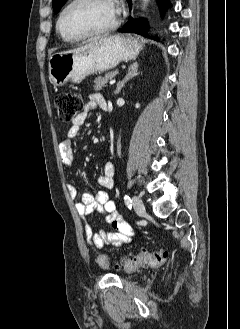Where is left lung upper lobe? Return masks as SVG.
<instances>
[{"label": "left lung upper lobe", "mask_w": 240, "mask_h": 329, "mask_svg": "<svg viewBox=\"0 0 240 329\" xmlns=\"http://www.w3.org/2000/svg\"><path fill=\"white\" fill-rule=\"evenodd\" d=\"M67 0H53L52 5H53V10L55 13H58L61 7L65 4Z\"/></svg>", "instance_id": "obj_1"}]
</instances>
